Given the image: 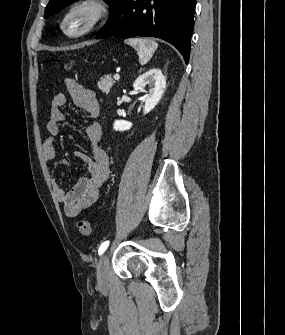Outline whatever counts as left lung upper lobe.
Masks as SVG:
<instances>
[{"mask_svg":"<svg viewBox=\"0 0 285 335\" xmlns=\"http://www.w3.org/2000/svg\"><path fill=\"white\" fill-rule=\"evenodd\" d=\"M73 1L75 0H50L45 8L44 18H47L48 16L55 14L61 8L65 7L66 5L70 4ZM105 1L110 5L111 11L120 2V0H105Z\"/></svg>","mask_w":285,"mask_h":335,"instance_id":"1","label":"left lung upper lobe"}]
</instances>
